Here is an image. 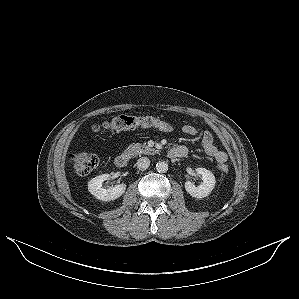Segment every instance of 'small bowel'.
<instances>
[{
    "label": "small bowel",
    "mask_w": 299,
    "mask_h": 299,
    "mask_svg": "<svg viewBox=\"0 0 299 299\" xmlns=\"http://www.w3.org/2000/svg\"><path fill=\"white\" fill-rule=\"evenodd\" d=\"M182 131L184 134L189 136H193L197 133L196 128L189 124L184 125L182 127ZM201 143L207 155L214 158L219 164H223L224 162H226L227 154L217 148L214 143L213 135L209 131H205L202 134Z\"/></svg>",
    "instance_id": "obj_1"
}]
</instances>
